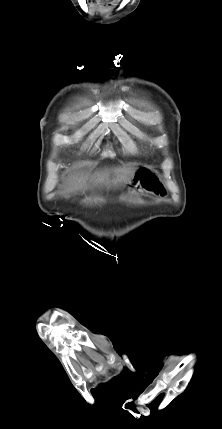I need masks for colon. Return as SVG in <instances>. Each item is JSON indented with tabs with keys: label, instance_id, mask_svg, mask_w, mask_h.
Returning a JSON list of instances; mask_svg holds the SVG:
<instances>
[{
	"label": "colon",
	"instance_id": "1",
	"mask_svg": "<svg viewBox=\"0 0 222 429\" xmlns=\"http://www.w3.org/2000/svg\"><path fill=\"white\" fill-rule=\"evenodd\" d=\"M135 183L138 188L151 191L156 194L163 193V187L157 175L149 168H140L135 175Z\"/></svg>",
	"mask_w": 222,
	"mask_h": 429
}]
</instances>
